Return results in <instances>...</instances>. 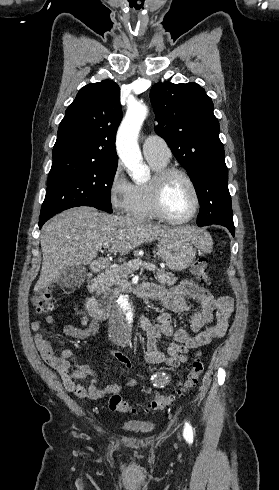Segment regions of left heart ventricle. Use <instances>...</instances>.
I'll return each instance as SVG.
<instances>
[{"label": "left heart ventricle", "instance_id": "b2bd125f", "mask_svg": "<svg viewBox=\"0 0 279 490\" xmlns=\"http://www.w3.org/2000/svg\"><path fill=\"white\" fill-rule=\"evenodd\" d=\"M164 202L170 216L176 219L186 218L194 207L193 189L183 177L175 176L168 184Z\"/></svg>", "mask_w": 279, "mask_h": 490}]
</instances>
